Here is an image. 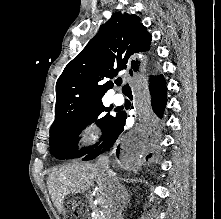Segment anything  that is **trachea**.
I'll return each mask as SVG.
<instances>
[{
	"instance_id": "trachea-1",
	"label": "trachea",
	"mask_w": 221,
	"mask_h": 219,
	"mask_svg": "<svg viewBox=\"0 0 221 219\" xmlns=\"http://www.w3.org/2000/svg\"><path fill=\"white\" fill-rule=\"evenodd\" d=\"M122 84V80L117 81V85L120 86Z\"/></svg>"
}]
</instances>
